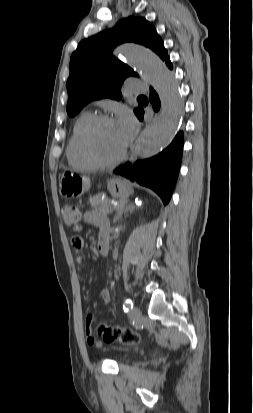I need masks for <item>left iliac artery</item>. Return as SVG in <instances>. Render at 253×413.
Instances as JSON below:
<instances>
[{"label":"left iliac artery","mask_w":253,"mask_h":413,"mask_svg":"<svg viewBox=\"0 0 253 413\" xmlns=\"http://www.w3.org/2000/svg\"><path fill=\"white\" fill-rule=\"evenodd\" d=\"M133 308V302L131 299L127 298L123 304V310L128 312L130 309Z\"/></svg>","instance_id":"1"}]
</instances>
